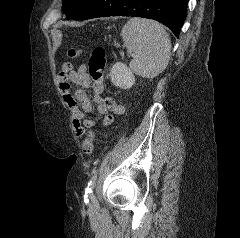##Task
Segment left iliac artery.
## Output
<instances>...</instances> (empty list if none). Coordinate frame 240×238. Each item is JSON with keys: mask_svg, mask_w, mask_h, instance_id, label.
<instances>
[{"mask_svg": "<svg viewBox=\"0 0 240 238\" xmlns=\"http://www.w3.org/2000/svg\"><path fill=\"white\" fill-rule=\"evenodd\" d=\"M97 173H98V171H97L96 169H94V170L92 171V177H91V179H90V181H89V183H88V186H87L86 191H85V196H84L86 203L89 202V200H88V195H89V194H92V192H93V188H94V186H95L96 179H97Z\"/></svg>", "mask_w": 240, "mask_h": 238, "instance_id": "1", "label": "left iliac artery"}]
</instances>
